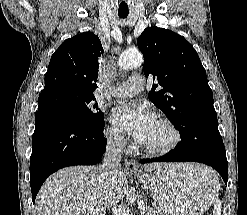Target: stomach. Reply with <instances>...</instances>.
<instances>
[{
    "mask_svg": "<svg viewBox=\"0 0 247 215\" xmlns=\"http://www.w3.org/2000/svg\"><path fill=\"white\" fill-rule=\"evenodd\" d=\"M190 173L183 164H165L141 180L148 184L157 209L165 215H202L219 190L215 173L198 165Z\"/></svg>",
    "mask_w": 247,
    "mask_h": 215,
    "instance_id": "1",
    "label": "stomach"
}]
</instances>
